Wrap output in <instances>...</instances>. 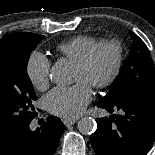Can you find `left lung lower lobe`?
Here are the masks:
<instances>
[{"label":"left lung lower lobe","mask_w":155,"mask_h":155,"mask_svg":"<svg viewBox=\"0 0 155 155\" xmlns=\"http://www.w3.org/2000/svg\"><path fill=\"white\" fill-rule=\"evenodd\" d=\"M98 107L124 116L99 118L92 137L96 155H146L155 141V86L138 89ZM116 118V119H114Z\"/></svg>","instance_id":"left-lung-lower-lobe-1"}]
</instances>
